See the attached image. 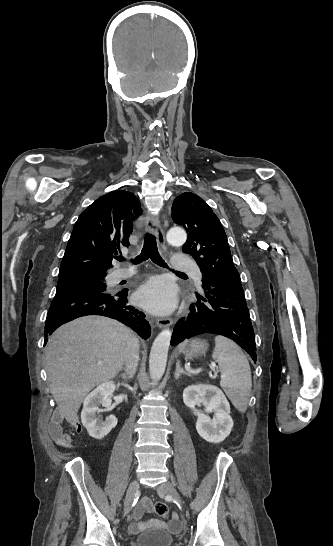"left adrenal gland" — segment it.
Segmentation results:
<instances>
[{
  "label": "left adrenal gland",
  "instance_id": "left-adrenal-gland-1",
  "mask_svg": "<svg viewBox=\"0 0 333 546\" xmlns=\"http://www.w3.org/2000/svg\"><path fill=\"white\" fill-rule=\"evenodd\" d=\"M182 374H185V375H187V376H191L189 373L185 372V371L181 368L180 362L177 361V363H176V370H175V374H174L175 379H178Z\"/></svg>",
  "mask_w": 333,
  "mask_h": 546
}]
</instances>
